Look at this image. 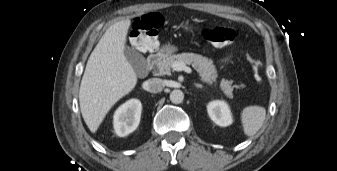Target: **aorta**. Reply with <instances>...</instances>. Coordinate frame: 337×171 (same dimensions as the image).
Listing matches in <instances>:
<instances>
[{
	"instance_id": "1",
	"label": "aorta",
	"mask_w": 337,
	"mask_h": 171,
	"mask_svg": "<svg viewBox=\"0 0 337 171\" xmlns=\"http://www.w3.org/2000/svg\"><path fill=\"white\" fill-rule=\"evenodd\" d=\"M170 101L174 104H180L183 102L184 100V93L181 91V90H173L171 93H170Z\"/></svg>"
}]
</instances>
